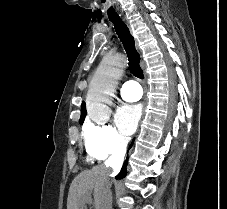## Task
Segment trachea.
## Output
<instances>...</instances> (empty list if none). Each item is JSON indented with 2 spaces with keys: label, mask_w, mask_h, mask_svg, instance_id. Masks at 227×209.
Listing matches in <instances>:
<instances>
[{
  "label": "trachea",
  "mask_w": 227,
  "mask_h": 209,
  "mask_svg": "<svg viewBox=\"0 0 227 209\" xmlns=\"http://www.w3.org/2000/svg\"><path fill=\"white\" fill-rule=\"evenodd\" d=\"M108 18L113 23L116 33L123 43L124 49L126 50L129 71L134 75V77L142 79L144 76L143 70L140 67V55L135 49V41L129 31L128 26L125 22H123L117 13H109Z\"/></svg>",
  "instance_id": "trachea-1"
}]
</instances>
